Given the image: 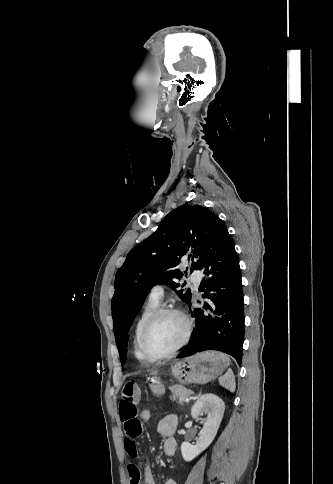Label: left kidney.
Wrapping results in <instances>:
<instances>
[{"label":"left kidney","mask_w":333,"mask_h":484,"mask_svg":"<svg viewBox=\"0 0 333 484\" xmlns=\"http://www.w3.org/2000/svg\"><path fill=\"white\" fill-rule=\"evenodd\" d=\"M225 411L223 400L215 394L202 395L193 405L191 415L196 420H201L203 428L198 434L196 445L183 442L181 445L182 457L189 462L200 455L213 442ZM205 414L206 418L200 417Z\"/></svg>","instance_id":"left-kidney-1"}]
</instances>
